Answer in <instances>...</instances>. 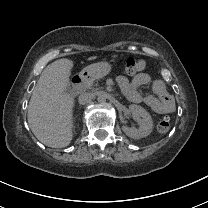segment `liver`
<instances>
[{"mask_svg":"<svg viewBox=\"0 0 208 208\" xmlns=\"http://www.w3.org/2000/svg\"><path fill=\"white\" fill-rule=\"evenodd\" d=\"M96 59V56L88 60ZM73 62L63 58L49 64L35 86L29 106L28 123L44 145L62 148L70 144L74 99L66 92Z\"/></svg>","mask_w":208,"mask_h":208,"instance_id":"obj_1","label":"liver"}]
</instances>
